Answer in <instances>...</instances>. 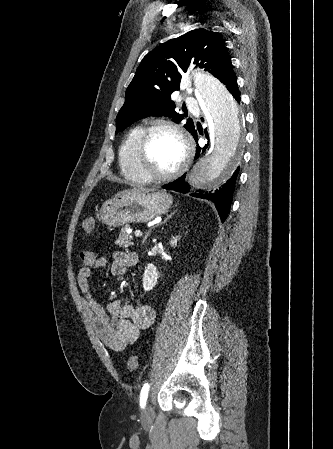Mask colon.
Here are the masks:
<instances>
[{
  "label": "colon",
  "mask_w": 333,
  "mask_h": 449,
  "mask_svg": "<svg viewBox=\"0 0 333 449\" xmlns=\"http://www.w3.org/2000/svg\"><path fill=\"white\" fill-rule=\"evenodd\" d=\"M95 226L94 218L90 217L83 222V230L85 233H91ZM128 369L134 371L138 367V357L130 356L127 360Z\"/></svg>",
  "instance_id": "5ec220e1"
}]
</instances>
